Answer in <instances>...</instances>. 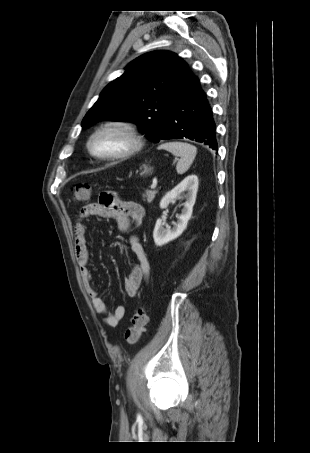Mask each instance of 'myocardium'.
<instances>
[{
	"mask_svg": "<svg viewBox=\"0 0 310 453\" xmlns=\"http://www.w3.org/2000/svg\"><path fill=\"white\" fill-rule=\"evenodd\" d=\"M111 131L123 135L126 138L128 145L124 149L114 153L110 154L97 153L92 146L93 140L96 137ZM143 145L144 140L140 135L139 131L137 130L136 126L131 122L124 120H112L103 123L91 133L86 142V148L89 154L93 158L100 161H114L128 158L139 152L142 149Z\"/></svg>",
	"mask_w": 310,
	"mask_h": 453,
	"instance_id": "myocardium-1",
	"label": "myocardium"
}]
</instances>
